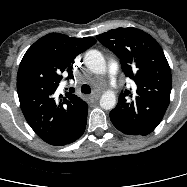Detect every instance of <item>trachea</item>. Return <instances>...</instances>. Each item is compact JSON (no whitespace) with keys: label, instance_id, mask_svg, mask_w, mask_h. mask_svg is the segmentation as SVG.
<instances>
[{"label":"trachea","instance_id":"1","mask_svg":"<svg viewBox=\"0 0 187 187\" xmlns=\"http://www.w3.org/2000/svg\"><path fill=\"white\" fill-rule=\"evenodd\" d=\"M81 92L84 93V94H89L91 93V88L89 85L87 84H84L82 87H81Z\"/></svg>","mask_w":187,"mask_h":187}]
</instances>
